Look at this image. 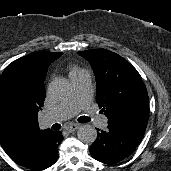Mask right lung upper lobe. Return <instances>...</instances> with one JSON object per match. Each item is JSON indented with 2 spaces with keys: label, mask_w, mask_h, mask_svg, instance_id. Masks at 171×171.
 <instances>
[{
  "label": "right lung upper lobe",
  "mask_w": 171,
  "mask_h": 171,
  "mask_svg": "<svg viewBox=\"0 0 171 171\" xmlns=\"http://www.w3.org/2000/svg\"><path fill=\"white\" fill-rule=\"evenodd\" d=\"M62 52L37 51L13 61L7 69H14L26 86L31 120L23 127L8 129L0 125V144L13 161L20 162L34 150L38 141L51 129L41 130L37 116L45 100L44 80L49 65Z\"/></svg>",
  "instance_id": "right-lung-upper-lobe-1"
}]
</instances>
